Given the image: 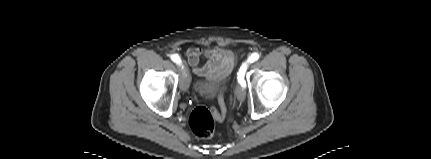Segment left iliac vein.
I'll return each instance as SVG.
<instances>
[{"mask_svg": "<svg viewBox=\"0 0 431 159\" xmlns=\"http://www.w3.org/2000/svg\"><path fill=\"white\" fill-rule=\"evenodd\" d=\"M246 66H248V62H245ZM235 94L239 101H244L246 97V90L243 86L237 85L235 88Z\"/></svg>", "mask_w": 431, "mask_h": 159, "instance_id": "left-iliac-vein-1", "label": "left iliac vein"}]
</instances>
